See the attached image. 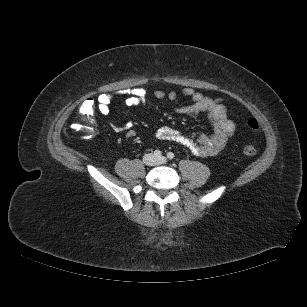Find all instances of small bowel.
<instances>
[{
    "mask_svg": "<svg viewBox=\"0 0 307 307\" xmlns=\"http://www.w3.org/2000/svg\"><path fill=\"white\" fill-rule=\"evenodd\" d=\"M183 96L191 100V104L177 106L175 111L183 115H196L200 112L207 114L212 122L213 132L211 135L199 134L188 136L180 133L169 126H161L156 129L155 136L159 140L172 141L187 148L192 154L199 157L216 156L225 147L228 139L235 132V124L229 118L226 106L215 100L205 97L200 92L191 88L182 91ZM154 97L159 100L174 102L177 98L175 91L156 90ZM113 96L110 93H103L97 98V108L99 112L107 116L110 112V104ZM147 102V92L142 88L133 89L125 99V104L129 107L143 106ZM110 126L117 132H131V125H118L111 121Z\"/></svg>",
    "mask_w": 307,
    "mask_h": 307,
    "instance_id": "obj_1",
    "label": "small bowel"
}]
</instances>
